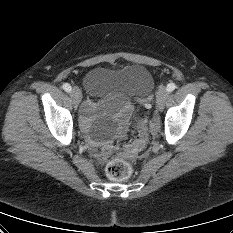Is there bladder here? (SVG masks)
Returning a JSON list of instances; mask_svg holds the SVG:
<instances>
[{"label": "bladder", "mask_w": 233, "mask_h": 233, "mask_svg": "<svg viewBox=\"0 0 233 233\" xmlns=\"http://www.w3.org/2000/svg\"><path fill=\"white\" fill-rule=\"evenodd\" d=\"M85 90L99 99H109L113 105L131 98L145 99L153 91L155 83L151 72L139 64L122 68L95 67L83 79ZM119 123V118L104 117L97 125L100 137Z\"/></svg>", "instance_id": "bladder-1"}]
</instances>
